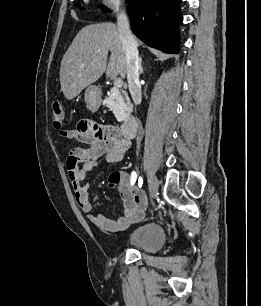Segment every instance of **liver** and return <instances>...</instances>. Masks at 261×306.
<instances>
[{"mask_svg": "<svg viewBox=\"0 0 261 306\" xmlns=\"http://www.w3.org/2000/svg\"><path fill=\"white\" fill-rule=\"evenodd\" d=\"M135 41L140 45L137 39ZM104 72L107 77L126 76V56L118 27L113 23L85 26L72 41L60 67V84L65 98H75Z\"/></svg>", "mask_w": 261, "mask_h": 306, "instance_id": "obj_1", "label": "liver"}]
</instances>
